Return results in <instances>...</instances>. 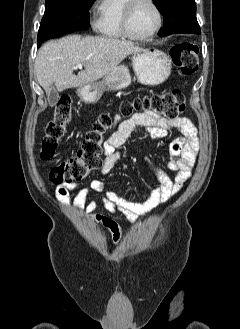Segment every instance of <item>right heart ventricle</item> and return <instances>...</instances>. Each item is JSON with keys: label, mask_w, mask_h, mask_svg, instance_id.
I'll return each mask as SVG.
<instances>
[{"label": "right heart ventricle", "mask_w": 240, "mask_h": 329, "mask_svg": "<svg viewBox=\"0 0 240 329\" xmlns=\"http://www.w3.org/2000/svg\"><path fill=\"white\" fill-rule=\"evenodd\" d=\"M127 0H100L99 16L95 28L100 35L111 40L128 38L122 29V15Z\"/></svg>", "instance_id": "e07e8e85"}]
</instances>
